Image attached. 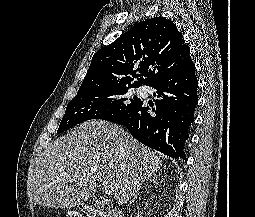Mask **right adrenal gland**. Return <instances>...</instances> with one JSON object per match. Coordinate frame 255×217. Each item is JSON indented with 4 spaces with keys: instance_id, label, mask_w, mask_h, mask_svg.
<instances>
[{
    "instance_id": "2a0ac1e0",
    "label": "right adrenal gland",
    "mask_w": 255,
    "mask_h": 217,
    "mask_svg": "<svg viewBox=\"0 0 255 217\" xmlns=\"http://www.w3.org/2000/svg\"><path fill=\"white\" fill-rule=\"evenodd\" d=\"M151 182H152V183H156V178H155L154 176H152V177L149 179V181H146L145 187H144V188H146V185H147L148 183L151 184ZM141 188H143V187H141ZM141 188H140V189H141ZM140 189L136 192V194H135L133 200H132L129 204L134 203V201L137 199V197L139 196V191H140Z\"/></svg>"
}]
</instances>
